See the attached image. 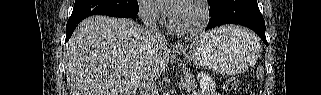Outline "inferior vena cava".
I'll use <instances>...</instances> for the list:
<instances>
[{
  "label": "inferior vena cava",
  "instance_id": "inferior-vena-cava-1",
  "mask_svg": "<svg viewBox=\"0 0 321 95\" xmlns=\"http://www.w3.org/2000/svg\"><path fill=\"white\" fill-rule=\"evenodd\" d=\"M145 29L158 40H164L157 27V14L152 7L142 8ZM138 88L140 95H158L155 78L150 74H144L139 81Z\"/></svg>",
  "mask_w": 321,
  "mask_h": 95
}]
</instances>
